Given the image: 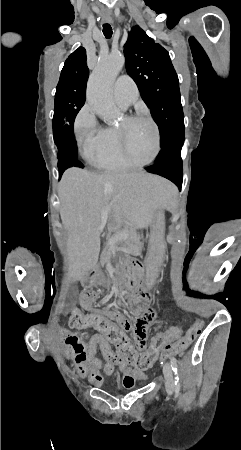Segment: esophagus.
<instances>
[{
  "mask_svg": "<svg viewBox=\"0 0 241 450\" xmlns=\"http://www.w3.org/2000/svg\"><path fill=\"white\" fill-rule=\"evenodd\" d=\"M105 21H107V22H111V18H109V19H107V20H105Z\"/></svg>",
  "mask_w": 241,
  "mask_h": 450,
  "instance_id": "obj_1",
  "label": "esophagus"
}]
</instances>
